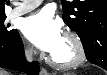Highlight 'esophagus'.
Segmentation results:
<instances>
[{
    "label": "esophagus",
    "mask_w": 107,
    "mask_h": 75,
    "mask_svg": "<svg viewBox=\"0 0 107 75\" xmlns=\"http://www.w3.org/2000/svg\"><path fill=\"white\" fill-rule=\"evenodd\" d=\"M40 75H49V73L45 68H41Z\"/></svg>",
    "instance_id": "esophagus-1"
}]
</instances>
